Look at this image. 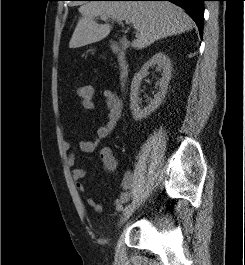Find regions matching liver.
<instances>
[{
    "mask_svg": "<svg viewBox=\"0 0 245 265\" xmlns=\"http://www.w3.org/2000/svg\"><path fill=\"white\" fill-rule=\"evenodd\" d=\"M81 18L69 42L70 48L96 43L107 37L109 24L99 25L95 17L111 18L117 22L130 21L136 30L131 46L144 49L155 41L181 34L193 28L192 19L177 5L167 1H91L79 8Z\"/></svg>",
    "mask_w": 245,
    "mask_h": 265,
    "instance_id": "obj_1",
    "label": "liver"
}]
</instances>
